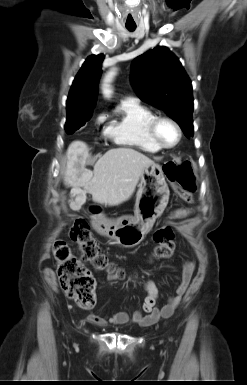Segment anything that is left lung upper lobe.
Here are the masks:
<instances>
[{"label": "left lung upper lobe", "mask_w": 247, "mask_h": 385, "mask_svg": "<svg viewBox=\"0 0 247 385\" xmlns=\"http://www.w3.org/2000/svg\"><path fill=\"white\" fill-rule=\"evenodd\" d=\"M131 69L137 95L163 109L187 138L193 136L192 85L179 59L167 47H156L135 58Z\"/></svg>", "instance_id": "obj_1"}]
</instances>
